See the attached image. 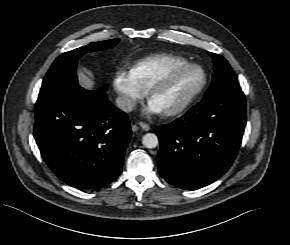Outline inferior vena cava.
<instances>
[{"label":"inferior vena cava","instance_id":"obj_1","mask_svg":"<svg viewBox=\"0 0 290 245\" xmlns=\"http://www.w3.org/2000/svg\"><path fill=\"white\" fill-rule=\"evenodd\" d=\"M117 107L124 112H131L134 109V101L126 95H120L116 98Z\"/></svg>","mask_w":290,"mask_h":245}]
</instances>
